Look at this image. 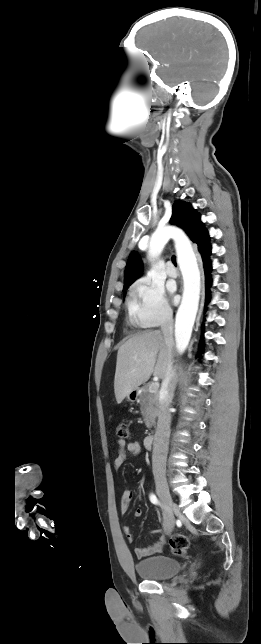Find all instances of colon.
<instances>
[{
	"instance_id": "5ec220e1",
	"label": "colon",
	"mask_w": 261,
	"mask_h": 644,
	"mask_svg": "<svg viewBox=\"0 0 261 644\" xmlns=\"http://www.w3.org/2000/svg\"><path fill=\"white\" fill-rule=\"evenodd\" d=\"M117 436L122 440L128 438L129 429L126 423H120L117 426ZM169 545L174 554L184 555L190 545V537L182 533H175L170 537Z\"/></svg>"
}]
</instances>
